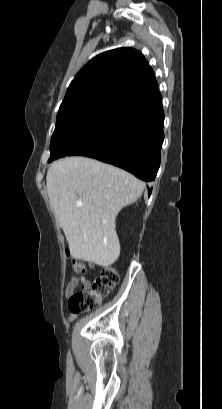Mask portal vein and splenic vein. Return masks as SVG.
<instances>
[{
	"mask_svg": "<svg viewBox=\"0 0 222 409\" xmlns=\"http://www.w3.org/2000/svg\"><path fill=\"white\" fill-rule=\"evenodd\" d=\"M77 205H78V206H81V205H82V202H81V201H78V202H77Z\"/></svg>",
	"mask_w": 222,
	"mask_h": 409,
	"instance_id": "obj_1",
	"label": "portal vein and splenic vein"
}]
</instances>
